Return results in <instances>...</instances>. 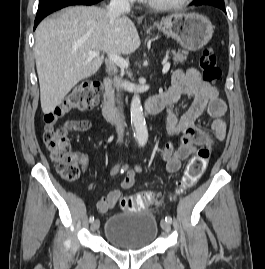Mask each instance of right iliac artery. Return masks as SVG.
<instances>
[{
  "mask_svg": "<svg viewBox=\"0 0 265 269\" xmlns=\"http://www.w3.org/2000/svg\"><path fill=\"white\" fill-rule=\"evenodd\" d=\"M124 170L122 169L121 172H123ZM89 221L92 223L94 221V216H91Z\"/></svg>",
  "mask_w": 265,
  "mask_h": 269,
  "instance_id": "1",
  "label": "right iliac artery"
}]
</instances>
